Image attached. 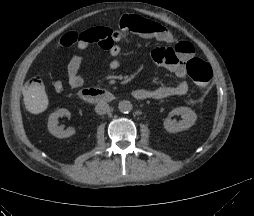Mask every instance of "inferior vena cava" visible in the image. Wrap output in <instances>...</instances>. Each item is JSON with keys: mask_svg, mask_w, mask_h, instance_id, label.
I'll use <instances>...</instances> for the list:
<instances>
[{"mask_svg": "<svg viewBox=\"0 0 254 216\" xmlns=\"http://www.w3.org/2000/svg\"><path fill=\"white\" fill-rule=\"evenodd\" d=\"M95 111L99 115H104L110 111L109 104L107 102L100 101L95 106Z\"/></svg>", "mask_w": 254, "mask_h": 216, "instance_id": "602c4592", "label": "inferior vena cava"}]
</instances>
